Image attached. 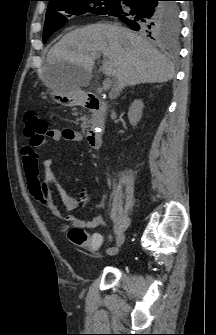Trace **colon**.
I'll return each instance as SVG.
<instances>
[{
	"label": "colon",
	"instance_id": "5ec220e1",
	"mask_svg": "<svg viewBox=\"0 0 216 335\" xmlns=\"http://www.w3.org/2000/svg\"><path fill=\"white\" fill-rule=\"evenodd\" d=\"M24 134L30 141L31 148H38L46 138L48 132L47 120L35 111H29L24 116ZM69 240L78 247L96 250L101 245V238L92 237L80 227H72L68 231Z\"/></svg>",
	"mask_w": 216,
	"mask_h": 335
}]
</instances>
